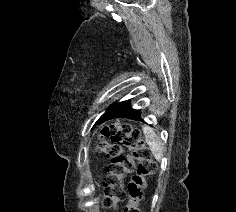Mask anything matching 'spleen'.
Returning <instances> with one entry per match:
<instances>
[{
	"label": "spleen",
	"mask_w": 236,
	"mask_h": 212,
	"mask_svg": "<svg viewBox=\"0 0 236 212\" xmlns=\"http://www.w3.org/2000/svg\"><path fill=\"white\" fill-rule=\"evenodd\" d=\"M143 133L145 135V141L149 145L155 159L160 161L163 155V148L161 146L159 137L156 135L152 128L147 126L143 127Z\"/></svg>",
	"instance_id": "1"
}]
</instances>
